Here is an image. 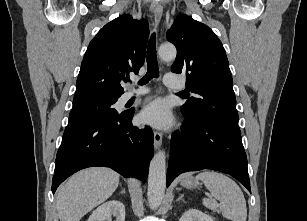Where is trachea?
I'll return each mask as SVG.
<instances>
[{"instance_id": "obj_1", "label": "trachea", "mask_w": 307, "mask_h": 221, "mask_svg": "<svg viewBox=\"0 0 307 221\" xmlns=\"http://www.w3.org/2000/svg\"><path fill=\"white\" fill-rule=\"evenodd\" d=\"M158 75H159V67L156 55V39H155V34H152L147 48V73L139 81V84L144 85L148 83L152 78H157ZM128 81L129 79H127L125 82ZM179 93L183 94L182 92Z\"/></svg>"}]
</instances>
